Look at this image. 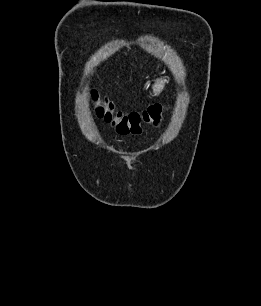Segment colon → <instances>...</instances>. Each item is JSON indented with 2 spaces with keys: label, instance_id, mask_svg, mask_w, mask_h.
<instances>
[{
  "label": "colon",
  "instance_id": "obj_1",
  "mask_svg": "<svg viewBox=\"0 0 261 306\" xmlns=\"http://www.w3.org/2000/svg\"><path fill=\"white\" fill-rule=\"evenodd\" d=\"M94 112L99 119L111 124L122 135L139 134L143 125H158L162 119L164 107L159 104L149 106L141 112H122L112 102L102 99L97 91L91 92Z\"/></svg>",
  "mask_w": 261,
  "mask_h": 306
}]
</instances>
